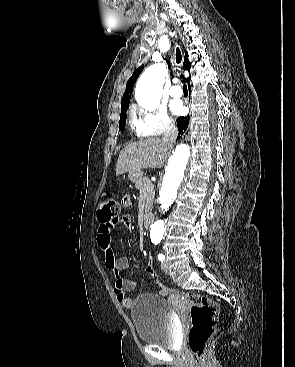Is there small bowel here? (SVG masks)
Listing matches in <instances>:
<instances>
[{
  "label": "small bowel",
  "mask_w": 295,
  "mask_h": 367,
  "mask_svg": "<svg viewBox=\"0 0 295 367\" xmlns=\"http://www.w3.org/2000/svg\"><path fill=\"white\" fill-rule=\"evenodd\" d=\"M122 204L125 207L130 206L131 200L128 195L124 196ZM122 224L127 229H132L133 222L129 215H122L116 217L113 220L103 223L99 221L97 229L96 241L99 248L104 254L105 267L109 269L114 276L113 291L118 302L124 307L129 308L132 304L131 298L127 297L126 294L132 291L137 286V281L132 278H126L122 276L123 271H127L130 268V263L127 257L121 256L116 257L113 252L111 233L113 229L118 225Z\"/></svg>",
  "instance_id": "c3829d8e"
}]
</instances>
